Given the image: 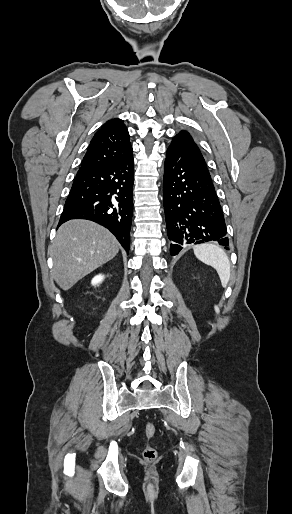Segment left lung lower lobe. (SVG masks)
Returning a JSON list of instances; mask_svg holds the SVG:
<instances>
[{
    "label": "left lung lower lobe",
    "instance_id": "1",
    "mask_svg": "<svg viewBox=\"0 0 292 514\" xmlns=\"http://www.w3.org/2000/svg\"><path fill=\"white\" fill-rule=\"evenodd\" d=\"M163 202L171 255L183 245L216 241L229 249L226 224L209 170L183 143L167 149Z\"/></svg>",
    "mask_w": 292,
    "mask_h": 514
}]
</instances>
